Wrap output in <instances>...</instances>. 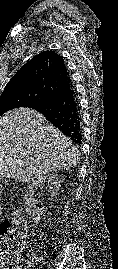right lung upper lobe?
I'll use <instances>...</instances> for the list:
<instances>
[{"instance_id":"1","label":"right lung upper lobe","mask_w":118,"mask_h":269,"mask_svg":"<svg viewBox=\"0 0 118 269\" xmlns=\"http://www.w3.org/2000/svg\"><path fill=\"white\" fill-rule=\"evenodd\" d=\"M71 84L72 81L63 57L48 50L37 54L23 65L8 82L1 96L6 94L31 95L35 97L32 102L34 103Z\"/></svg>"}]
</instances>
